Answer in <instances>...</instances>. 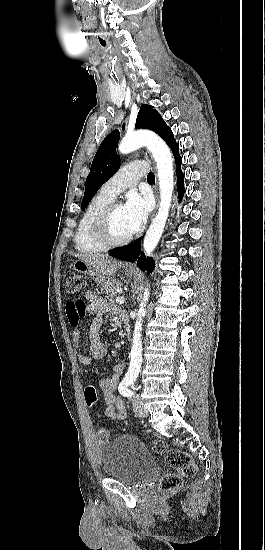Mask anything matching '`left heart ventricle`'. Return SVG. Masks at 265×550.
Returning a JSON list of instances; mask_svg holds the SVG:
<instances>
[{
  "label": "left heart ventricle",
  "instance_id": "1",
  "mask_svg": "<svg viewBox=\"0 0 265 550\" xmlns=\"http://www.w3.org/2000/svg\"><path fill=\"white\" fill-rule=\"evenodd\" d=\"M111 232L115 238H122L131 234L123 205L118 204L113 212Z\"/></svg>",
  "mask_w": 265,
  "mask_h": 550
}]
</instances>
